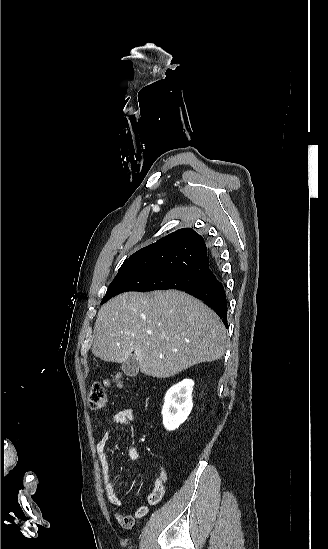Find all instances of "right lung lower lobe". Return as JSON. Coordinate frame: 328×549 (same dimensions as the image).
<instances>
[{
	"label": "right lung lower lobe",
	"instance_id": "right-lung-lower-lobe-1",
	"mask_svg": "<svg viewBox=\"0 0 328 549\" xmlns=\"http://www.w3.org/2000/svg\"><path fill=\"white\" fill-rule=\"evenodd\" d=\"M183 291L201 299L223 320L226 328L227 325V299L223 284L213 278L212 280L199 284L194 287H189Z\"/></svg>",
	"mask_w": 328,
	"mask_h": 549
}]
</instances>
